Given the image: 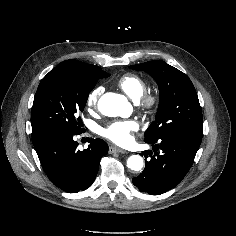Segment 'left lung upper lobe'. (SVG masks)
Instances as JSON below:
<instances>
[{
	"instance_id": "1",
	"label": "left lung upper lobe",
	"mask_w": 236,
	"mask_h": 236,
	"mask_svg": "<svg viewBox=\"0 0 236 236\" xmlns=\"http://www.w3.org/2000/svg\"><path fill=\"white\" fill-rule=\"evenodd\" d=\"M130 68L150 74L159 87V108L155 121L144 134L145 140L169 134L202 138V111L195 88L187 75L161 60L132 65Z\"/></svg>"
}]
</instances>
